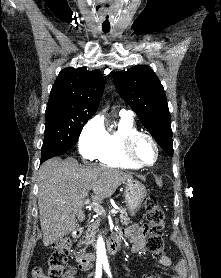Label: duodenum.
Segmentation results:
<instances>
[{"instance_id":"410a0bca","label":"duodenum","mask_w":221,"mask_h":278,"mask_svg":"<svg viewBox=\"0 0 221 278\" xmlns=\"http://www.w3.org/2000/svg\"><path fill=\"white\" fill-rule=\"evenodd\" d=\"M83 233L81 227H77L73 232L74 238H79ZM121 242V233L118 232L109 238L107 249L109 254H116L119 251ZM94 260V255L92 253H81L77 256V263L79 268L82 270H87L91 267Z\"/></svg>"}]
</instances>
